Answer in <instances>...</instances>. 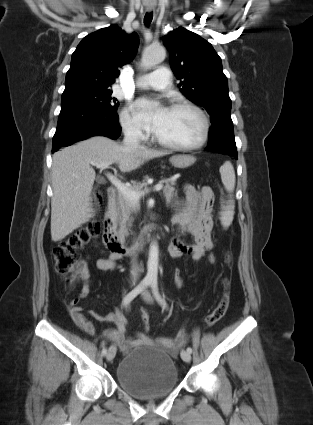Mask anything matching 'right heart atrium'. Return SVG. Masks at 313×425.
<instances>
[{
	"instance_id": "1",
	"label": "right heart atrium",
	"mask_w": 313,
	"mask_h": 425,
	"mask_svg": "<svg viewBox=\"0 0 313 425\" xmlns=\"http://www.w3.org/2000/svg\"><path fill=\"white\" fill-rule=\"evenodd\" d=\"M120 123L124 133L136 140H144L146 134L130 107L125 108L120 115Z\"/></svg>"
}]
</instances>
